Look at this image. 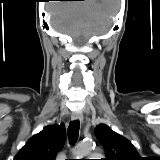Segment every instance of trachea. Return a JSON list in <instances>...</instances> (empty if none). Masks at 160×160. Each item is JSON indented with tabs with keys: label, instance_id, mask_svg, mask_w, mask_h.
Returning a JSON list of instances; mask_svg holds the SVG:
<instances>
[{
	"label": "trachea",
	"instance_id": "1",
	"mask_svg": "<svg viewBox=\"0 0 160 160\" xmlns=\"http://www.w3.org/2000/svg\"><path fill=\"white\" fill-rule=\"evenodd\" d=\"M79 128L80 124L78 120L70 122L68 127V138L70 144H74L77 141L79 135Z\"/></svg>",
	"mask_w": 160,
	"mask_h": 160
}]
</instances>
